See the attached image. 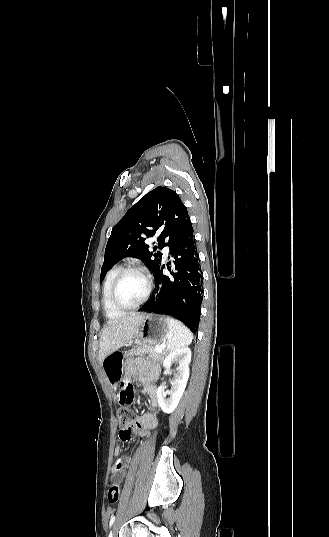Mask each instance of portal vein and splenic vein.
Returning a JSON list of instances; mask_svg holds the SVG:
<instances>
[{"label":"portal vein and splenic vein","instance_id":"portal-vein-and-splenic-vein-1","mask_svg":"<svg viewBox=\"0 0 329 537\" xmlns=\"http://www.w3.org/2000/svg\"><path fill=\"white\" fill-rule=\"evenodd\" d=\"M163 350V347L162 346H156V351L157 352H162Z\"/></svg>","mask_w":329,"mask_h":537}]
</instances>
